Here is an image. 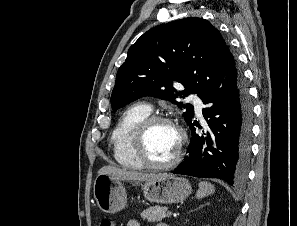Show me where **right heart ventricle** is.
Listing matches in <instances>:
<instances>
[{"mask_svg": "<svg viewBox=\"0 0 297 226\" xmlns=\"http://www.w3.org/2000/svg\"><path fill=\"white\" fill-rule=\"evenodd\" d=\"M151 113L144 103H135L128 107L119 118L111 136L113 156L116 162L128 169H141L143 165L132 151V136L136 126Z\"/></svg>", "mask_w": 297, "mask_h": 226, "instance_id": "right-heart-ventricle-1", "label": "right heart ventricle"}]
</instances>
